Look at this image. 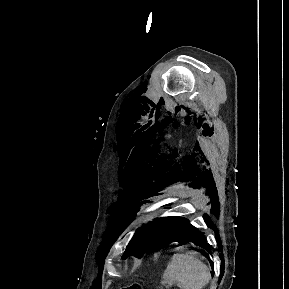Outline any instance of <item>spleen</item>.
I'll use <instances>...</instances> for the list:
<instances>
[{"label":"spleen","instance_id":"3e777b00","mask_svg":"<svg viewBox=\"0 0 289 289\" xmlns=\"http://www.w3.org/2000/svg\"><path fill=\"white\" fill-rule=\"evenodd\" d=\"M207 265L191 253H176L162 275V285L179 289H203L210 281Z\"/></svg>","mask_w":289,"mask_h":289}]
</instances>
